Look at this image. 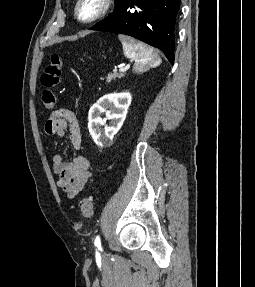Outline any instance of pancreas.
I'll return each instance as SVG.
<instances>
[{"instance_id": "obj_1", "label": "pancreas", "mask_w": 255, "mask_h": 287, "mask_svg": "<svg viewBox=\"0 0 255 287\" xmlns=\"http://www.w3.org/2000/svg\"><path fill=\"white\" fill-rule=\"evenodd\" d=\"M124 74H122V72H120V74H117V72H110V74H108V76H106V82H111V80H116V78H123ZM102 80H104V78H102Z\"/></svg>"}]
</instances>
